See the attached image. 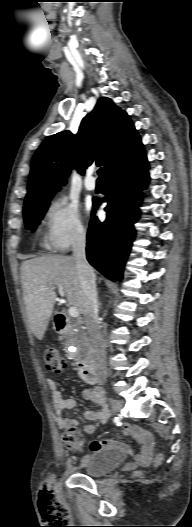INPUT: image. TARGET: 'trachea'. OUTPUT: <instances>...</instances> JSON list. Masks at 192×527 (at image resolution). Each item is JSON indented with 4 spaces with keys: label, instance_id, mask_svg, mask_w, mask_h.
Returning <instances> with one entry per match:
<instances>
[{
    "label": "trachea",
    "instance_id": "3493384b",
    "mask_svg": "<svg viewBox=\"0 0 192 527\" xmlns=\"http://www.w3.org/2000/svg\"><path fill=\"white\" fill-rule=\"evenodd\" d=\"M97 174H98V176H99V177H98V180H102V179H103V176H102V170H101V169L98 170Z\"/></svg>",
    "mask_w": 192,
    "mask_h": 527
}]
</instances>
